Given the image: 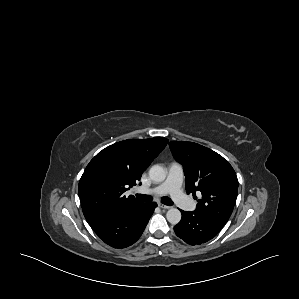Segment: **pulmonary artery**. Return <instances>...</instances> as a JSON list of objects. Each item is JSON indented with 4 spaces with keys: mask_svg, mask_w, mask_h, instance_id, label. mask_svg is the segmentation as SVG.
I'll return each instance as SVG.
<instances>
[{
    "mask_svg": "<svg viewBox=\"0 0 299 299\" xmlns=\"http://www.w3.org/2000/svg\"><path fill=\"white\" fill-rule=\"evenodd\" d=\"M183 175L182 165L177 162H172L168 168L167 178L162 184L153 188H141L139 192L156 196L169 194L181 208L191 210L195 205L192 201L187 199L181 189Z\"/></svg>",
    "mask_w": 299,
    "mask_h": 299,
    "instance_id": "obj_1",
    "label": "pulmonary artery"
}]
</instances>
